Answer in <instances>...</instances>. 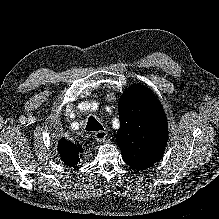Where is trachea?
Wrapping results in <instances>:
<instances>
[{"mask_svg":"<svg viewBox=\"0 0 219 219\" xmlns=\"http://www.w3.org/2000/svg\"><path fill=\"white\" fill-rule=\"evenodd\" d=\"M86 131H100L103 130V126L99 123V121L93 117L90 116L88 118L87 126L85 128Z\"/></svg>","mask_w":219,"mask_h":219,"instance_id":"3493384b","label":"trachea"}]
</instances>
